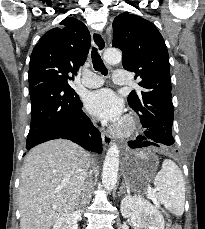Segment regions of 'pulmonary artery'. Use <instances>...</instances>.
I'll use <instances>...</instances> for the list:
<instances>
[{"instance_id":"e3ab8cb5","label":"pulmonary artery","mask_w":205,"mask_h":229,"mask_svg":"<svg viewBox=\"0 0 205 229\" xmlns=\"http://www.w3.org/2000/svg\"><path fill=\"white\" fill-rule=\"evenodd\" d=\"M113 81L118 85L128 84V72L124 69H116L113 74ZM82 84L89 88H96L103 84V79L92 72H86L82 77Z\"/></svg>"}]
</instances>
